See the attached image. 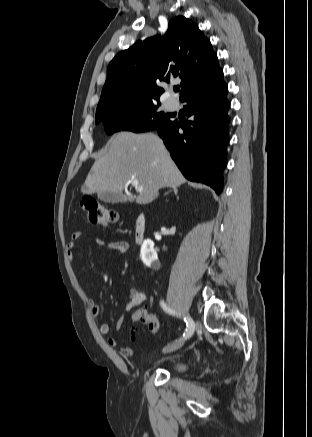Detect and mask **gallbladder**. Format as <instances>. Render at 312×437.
I'll return each instance as SVG.
<instances>
[{
	"label": "gallbladder",
	"instance_id": "1",
	"mask_svg": "<svg viewBox=\"0 0 312 437\" xmlns=\"http://www.w3.org/2000/svg\"><path fill=\"white\" fill-rule=\"evenodd\" d=\"M98 198L107 203H117V202H126L127 200L132 201L133 197L130 196L128 198L123 197L119 193H113V192H107V191H100L97 194Z\"/></svg>",
	"mask_w": 312,
	"mask_h": 437
}]
</instances>
